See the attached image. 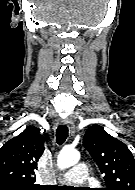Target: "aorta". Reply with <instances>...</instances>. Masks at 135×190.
<instances>
[{
	"mask_svg": "<svg viewBox=\"0 0 135 190\" xmlns=\"http://www.w3.org/2000/svg\"><path fill=\"white\" fill-rule=\"evenodd\" d=\"M80 153L75 149L64 148L58 155L57 165L60 169L71 167L78 163Z\"/></svg>",
	"mask_w": 135,
	"mask_h": 190,
	"instance_id": "obj_1",
	"label": "aorta"
}]
</instances>
